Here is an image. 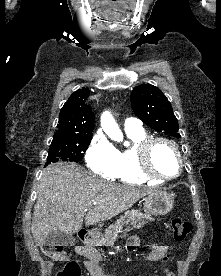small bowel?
Here are the masks:
<instances>
[{"label":"small bowel","instance_id":"1","mask_svg":"<svg viewBox=\"0 0 221 276\" xmlns=\"http://www.w3.org/2000/svg\"><path fill=\"white\" fill-rule=\"evenodd\" d=\"M138 244L139 241L136 237L131 238V246H138ZM77 252L86 258L84 264L91 276H110L106 271L100 253L96 249L80 246L77 248ZM169 257L170 254L168 253V247L157 243L151 245L147 256L149 261L163 263V273L165 276H175V274L165 265V262Z\"/></svg>","mask_w":221,"mask_h":276}]
</instances>
